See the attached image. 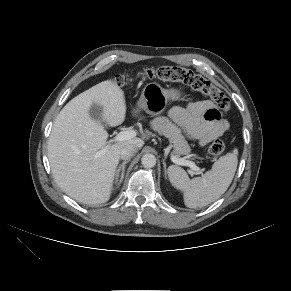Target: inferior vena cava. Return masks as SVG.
Masks as SVG:
<instances>
[{
  "instance_id": "obj_1",
  "label": "inferior vena cava",
  "mask_w": 291,
  "mask_h": 291,
  "mask_svg": "<svg viewBox=\"0 0 291 291\" xmlns=\"http://www.w3.org/2000/svg\"><path fill=\"white\" fill-rule=\"evenodd\" d=\"M137 151H138V149L136 146L128 145L121 150L120 157L123 160L130 159L131 157H133L137 153Z\"/></svg>"
}]
</instances>
